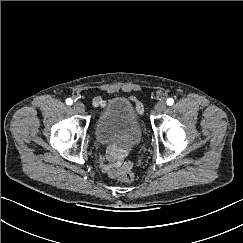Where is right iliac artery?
Segmentation results:
<instances>
[{
	"mask_svg": "<svg viewBox=\"0 0 243 243\" xmlns=\"http://www.w3.org/2000/svg\"><path fill=\"white\" fill-rule=\"evenodd\" d=\"M72 103H73L72 99L68 98V99L66 100V104H67V105H72Z\"/></svg>",
	"mask_w": 243,
	"mask_h": 243,
	"instance_id": "1",
	"label": "right iliac artery"
}]
</instances>
